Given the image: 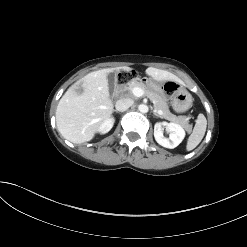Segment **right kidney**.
<instances>
[{
  "label": "right kidney",
  "mask_w": 247,
  "mask_h": 247,
  "mask_svg": "<svg viewBox=\"0 0 247 247\" xmlns=\"http://www.w3.org/2000/svg\"><path fill=\"white\" fill-rule=\"evenodd\" d=\"M114 121H115L114 118H107V119H105L101 123L98 131L101 134H105V133L109 132L111 130V128L113 127V125H114Z\"/></svg>",
  "instance_id": "ca27d5eb"
}]
</instances>
